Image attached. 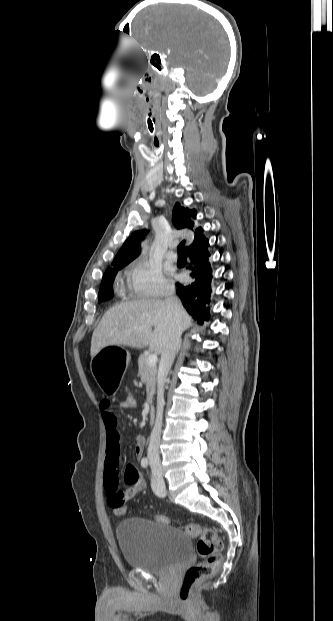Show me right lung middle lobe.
Listing matches in <instances>:
<instances>
[{
  "mask_svg": "<svg viewBox=\"0 0 333 621\" xmlns=\"http://www.w3.org/2000/svg\"><path fill=\"white\" fill-rule=\"evenodd\" d=\"M125 266L126 265H119L115 267H110L106 270V272L103 275L101 287L99 290V295H98L99 301H107L113 297V289H112L113 279L116 273L118 272V270L122 269Z\"/></svg>",
  "mask_w": 333,
  "mask_h": 621,
  "instance_id": "obj_1",
  "label": "right lung middle lobe"
}]
</instances>
